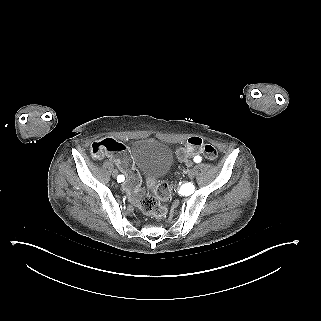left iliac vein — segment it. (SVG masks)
I'll return each mask as SVG.
<instances>
[{"label":"left iliac vein","instance_id":"left-iliac-vein-1","mask_svg":"<svg viewBox=\"0 0 321 321\" xmlns=\"http://www.w3.org/2000/svg\"><path fill=\"white\" fill-rule=\"evenodd\" d=\"M195 174H196V171H195L194 169H190V170L188 171V177H189L190 179H193V178L195 177Z\"/></svg>","mask_w":321,"mask_h":321}]
</instances>
